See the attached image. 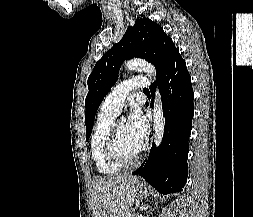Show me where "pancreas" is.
I'll use <instances>...</instances> for the list:
<instances>
[{"mask_svg": "<svg viewBox=\"0 0 253 217\" xmlns=\"http://www.w3.org/2000/svg\"><path fill=\"white\" fill-rule=\"evenodd\" d=\"M124 217H129V215L128 214H125V216Z\"/></svg>", "mask_w": 253, "mask_h": 217, "instance_id": "pancreas-1", "label": "pancreas"}]
</instances>
